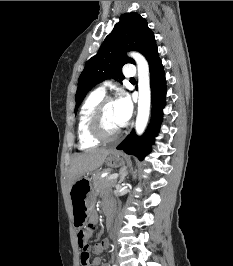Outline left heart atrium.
I'll use <instances>...</instances> for the list:
<instances>
[{
    "mask_svg": "<svg viewBox=\"0 0 233 266\" xmlns=\"http://www.w3.org/2000/svg\"><path fill=\"white\" fill-rule=\"evenodd\" d=\"M117 121L120 127L125 126L132 115V103L128 96L122 95L116 101Z\"/></svg>",
    "mask_w": 233,
    "mask_h": 266,
    "instance_id": "left-heart-atrium-1",
    "label": "left heart atrium"
}]
</instances>
